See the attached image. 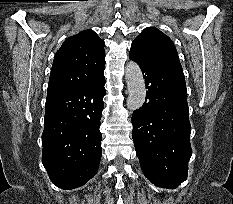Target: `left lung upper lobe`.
Returning a JSON list of instances; mask_svg holds the SVG:
<instances>
[{
    "label": "left lung upper lobe",
    "instance_id": "obj_1",
    "mask_svg": "<svg viewBox=\"0 0 233 204\" xmlns=\"http://www.w3.org/2000/svg\"><path fill=\"white\" fill-rule=\"evenodd\" d=\"M130 52L160 65L182 70L173 42L157 28H145L133 41Z\"/></svg>",
    "mask_w": 233,
    "mask_h": 204
}]
</instances>
